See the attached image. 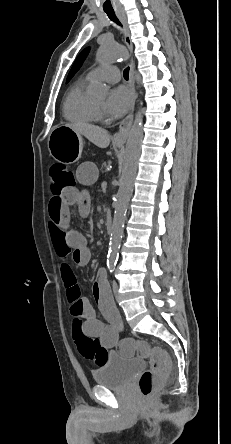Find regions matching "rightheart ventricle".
<instances>
[{
    "instance_id": "right-heart-ventricle-1",
    "label": "right heart ventricle",
    "mask_w": 231,
    "mask_h": 444,
    "mask_svg": "<svg viewBox=\"0 0 231 444\" xmlns=\"http://www.w3.org/2000/svg\"><path fill=\"white\" fill-rule=\"evenodd\" d=\"M89 82L90 80L87 78L82 79L67 93L63 105V114L68 121L93 123L98 120V111L85 94Z\"/></svg>"
}]
</instances>
